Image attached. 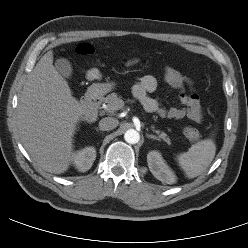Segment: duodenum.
I'll use <instances>...</instances> for the list:
<instances>
[{"label":"duodenum","mask_w":248,"mask_h":248,"mask_svg":"<svg viewBox=\"0 0 248 248\" xmlns=\"http://www.w3.org/2000/svg\"><path fill=\"white\" fill-rule=\"evenodd\" d=\"M102 97L96 90L89 92L83 101L84 118L87 121H93L96 117V112L101 104Z\"/></svg>","instance_id":"duodenum-1"}]
</instances>
